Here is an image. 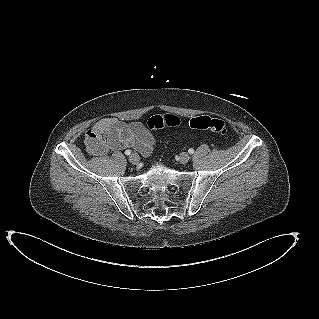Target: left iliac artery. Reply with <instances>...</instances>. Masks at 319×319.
<instances>
[{"mask_svg": "<svg viewBox=\"0 0 319 319\" xmlns=\"http://www.w3.org/2000/svg\"><path fill=\"white\" fill-rule=\"evenodd\" d=\"M188 152H189V154H193V153H194V149L190 148V149L188 150Z\"/></svg>", "mask_w": 319, "mask_h": 319, "instance_id": "1", "label": "left iliac artery"}]
</instances>
